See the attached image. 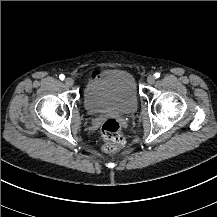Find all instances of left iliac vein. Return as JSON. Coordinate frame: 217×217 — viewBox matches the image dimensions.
Returning <instances> with one entry per match:
<instances>
[{
	"label": "left iliac vein",
	"instance_id": "obj_1",
	"mask_svg": "<svg viewBox=\"0 0 217 217\" xmlns=\"http://www.w3.org/2000/svg\"><path fill=\"white\" fill-rule=\"evenodd\" d=\"M147 82H148V84H150V85L154 84V82H155V76H153V75H148V77H147Z\"/></svg>",
	"mask_w": 217,
	"mask_h": 217
}]
</instances>
